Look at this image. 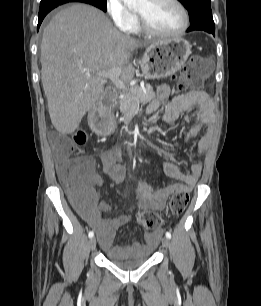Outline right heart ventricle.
Returning a JSON list of instances; mask_svg holds the SVG:
<instances>
[{
    "instance_id": "1",
    "label": "right heart ventricle",
    "mask_w": 261,
    "mask_h": 306,
    "mask_svg": "<svg viewBox=\"0 0 261 306\" xmlns=\"http://www.w3.org/2000/svg\"><path fill=\"white\" fill-rule=\"evenodd\" d=\"M130 31L133 32V33H140L141 32V29H140V27H139V25L136 21L134 22Z\"/></svg>"
}]
</instances>
